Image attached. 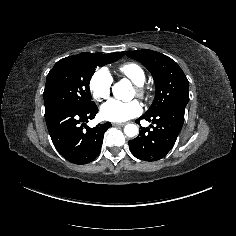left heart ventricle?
Returning <instances> with one entry per match:
<instances>
[{
  "mask_svg": "<svg viewBox=\"0 0 236 236\" xmlns=\"http://www.w3.org/2000/svg\"><path fill=\"white\" fill-rule=\"evenodd\" d=\"M132 97H133V98L136 97V91H135L134 88H133V96H132ZM133 98H132V99H133Z\"/></svg>",
  "mask_w": 236,
  "mask_h": 236,
  "instance_id": "1",
  "label": "left heart ventricle"
}]
</instances>
